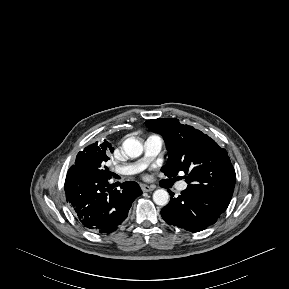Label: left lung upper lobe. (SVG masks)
Returning <instances> with one entry per match:
<instances>
[{
	"label": "left lung upper lobe",
	"instance_id": "1",
	"mask_svg": "<svg viewBox=\"0 0 289 289\" xmlns=\"http://www.w3.org/2000/svg\"><path fill=\"white\" fill-rule=\"evenodd\" d=\"M146 125L161 134L169 158L161 171L175 177L184 171L188 188L230 203L236 174L225 149L201 131L175 118L147 120Z\"/></svg>",
	"mask_w": 289,
	"mask_h": 289
}]
</instances>
